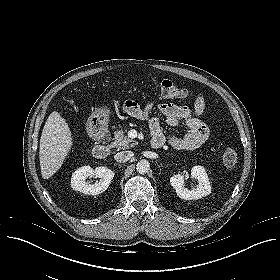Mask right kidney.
<instances>
[{"mask_svg":"<svg viewBox=\"0 0 280 280\" xmlns=\"http://www.w3.org/2000/svg\"><path fill=\"white\" fill-rule=\"evenodd\" d=\"M92 176H96L100 180L90 184L86 179ZM113 177L114 172L106 167L93 169L90 166H82L72 174L70 186L73 190L83 194L97 195L107 190Z\"/></svg>","mask_w":280,"mask_h":280,"instance_id":"obj_1","label":"right kidney"}]
</instances>
